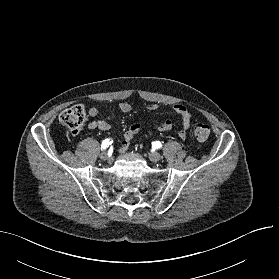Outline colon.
Instances as JSON below:
<instances>
[{
  "label": "colon",
  "instance_id": "colon-1",
  "mask_svg": "<svg viewBox=\"0 0 279 279\" xmlns=\"http://www.w3.org/2000/svg\"><path fill=\"white\" fill-rule=\"evenodd\" d=\"M60 122L73 134L78 133L86 121V111L82 105L71 106L60 114ZM193 133L199 143H204L209 137V126L203 122L193 123Z\"/></svg>",
  "mask_w": 279,
  "mask_h": 279
}]
</instances>
